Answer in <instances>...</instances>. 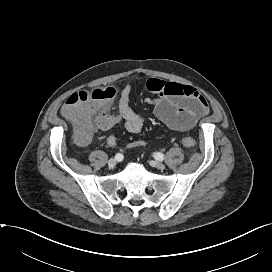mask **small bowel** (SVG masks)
Segmentation results:
<instances>
[{"instance_id": "c3829d8e", "label": "small bowel", "mask_w": 272, "mask_h": 272, "mask_svg": "<svg viewBox=\"0 0 272 272\" xmlns=\"http://www.w3.org/2000/svg\"><path fill=\"white\" fill-rule=\"evenodd\" d=\"M144 86L156 97L149 100L153 105V115L174 131H188L192 129L199 119L210 112L209 104L205 97L190 85L176 82L163 81L149 77L144 81ZM132 84L127 83L119 100L116 115H102L97 120L98 128L107 130L117 124H122L130 133H138L144 124L145 118L139 115L130 105ZM111 147L116 145V137L111 134L108 138ZM142 141L130 143V148H137Z\"/></svg>"}]
</instances>
